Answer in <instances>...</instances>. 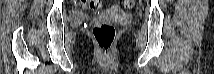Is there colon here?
Segmentation results:
<instances>
[{
  "mask_svg": "<svg viewBox=\"0 0 214 74\" xmlns=\"http://www.w3.org/2000/svg\"><path fill=\"white\" fill-rule=\"evenodd\" d=\"M125 8H133L135 5L134 0H124ZM88 6L91 9L99 10L103 8V2L99 0L88 1ZM93 36L98 45L100 52L104 56H108L113 49L117 32L111 23L98 21L93 27Z\"/></svg>",
  "mask_w": 214,
  "mask_h": 74,
  "instance_id": "colon-1",
  "label": "colon"
}]
</instances>
